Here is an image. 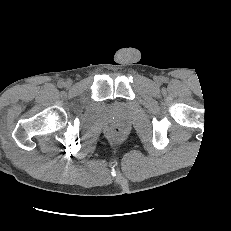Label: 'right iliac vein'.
I'll return each instance as SVG.
<instances>
[{"instance_id": "obj_1", "label": "right iliac vein", "mask_w": 231, "mask_h": 231, "mask_svg": "<svg viewBox=\"0 0 231 231\" xmlns=\"http://www.w3.org/2000/svg\"><path fill=\"white\" fill-rule=\"evenodd\" d=\"M65 86H67V87L71 86V82H70V81H67V82L65 83Z\"/></svg>"}]
</instances>
